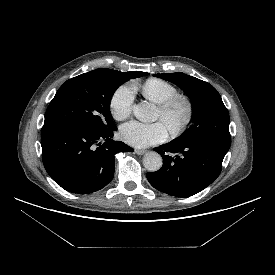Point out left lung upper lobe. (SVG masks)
Wrapping results in <instances>:
<instances>
[{
  "instance_id": "obj_1",
  "label": "left lung upper lobe",
  "mask_w": 275,
  "mask_h": 275,
  "mask_svg": "<svg viewBox=\"0 0 275 275\" xmlns=\"http://www.w3.org/2000/svg\"><path fill=\"white\" fill-rule=\"evenodd\" d=\"M154 76L179 86L193 104L192 125L173 141L230 147L229 113L220 94L212 85L183 73H163Z\"/></svg>"
}]
</instances>
